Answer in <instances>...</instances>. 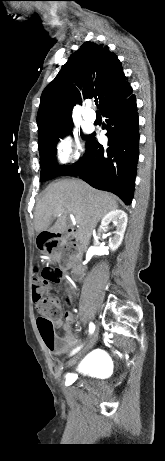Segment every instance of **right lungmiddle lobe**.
I'll use <instances>...</instances> for the list:
<instances>
[{"mask_svg":"<svg viewBox=\"0 0 165 461\" xmlns=\"http://www.w3.org/2000/svg\"><path fill=\"white\" fill-rule=\"evenodd\" d=\"M73 122H68L61 127L47 132L42 138L38 139L40 154L41 177L40 182L56 178L66 166L57 167L55 164V146L59 138L72 133ZM81 137L85 139L82 133Z\"/></svg>","mask_w":165,"mask_h":461,"instance_id":"obj_1","label":"right lung middle lobe"}]
</instances>
